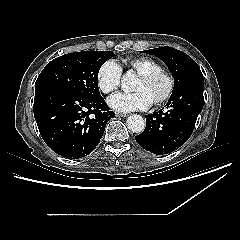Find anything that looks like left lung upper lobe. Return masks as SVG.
<instances>
[{
  "label": "left lung upper lobe",
  "mask_w": 240,
  "mask_h": 240,
  "mask_svg": "<svg viewBox=\"0 0 240 240\" xmlns=\"http://www.w3.org/2000/svg\"><path fill=\"white\" fill-rule=\"evenodd\" d=\"M145 53L160 58L169 68L174 77V90L195 81L203 80L202 72L197 63L187 54L172 47H161L146 50Z\"/></svg>",
  "instance_id": "obj_1"
}]
</instances>
